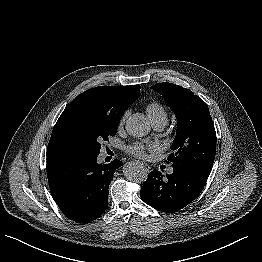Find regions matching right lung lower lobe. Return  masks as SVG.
Segmentation results:
<instances>
[{
    "label": "right lung lower lobe",
    "instance_id": "obj_1",
    "mask_svg": "<svg viewBox=\"0 0 262 262\" xmlns=\"http://www.w3.org/2000/svg\"><path fill=\"white\" fill-rule=\"evenodd\" d=\"M120 160L98 164L96 156H47V176L53 199L77 223L98 218L108 205V188Z\"/></svg>",
    "mask_w": 262,
    "mask_h": 262
}]
</instances>
